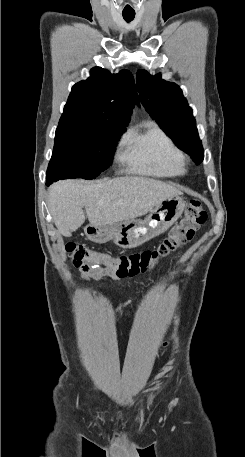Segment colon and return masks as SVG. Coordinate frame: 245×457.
I'll use <instances>...</instances> for the list:
<instances>
[{"instance_id":"5ec220e1","label":"colon","mask_w":245,"mask_h":457,"mask_svg":"<svg viewBox=\"0 0 245 457\" xmlns=\"http://www.w3.org/2000/svg\"><path fill=\"white\" fill-rule=\"evenodd\" d=\"M206 218L201 201L192 199L186 205L182 220L171 228L167 238L156 248L117 257L94 252L79 243H68L65 249L72 263L81 270L108 268L119 278L134 277L152 270L160 260L175 252L194 235Z\"/></svg>"}]
</instances>
